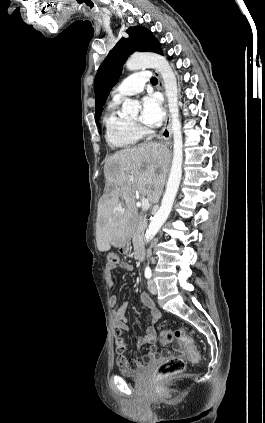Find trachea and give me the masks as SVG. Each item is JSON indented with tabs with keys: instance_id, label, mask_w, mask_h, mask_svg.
Returning <instances> with one entry per match:
<instances>
[{
	"instance_id": "1",
	"label": "trachea",
	"mask_w": 265,
	"mask_h": 423,
	"mask_svg": "<svg viewBox=\"0 0 265 423\" xmlns=\"http://www.w3.org/2000/svg\"><path fill=\"white\" fill-rule=\"evenodd\" d=\"M151 84H157V78L153 77L150 80Z\"/></svg>"
}]
</instances>
